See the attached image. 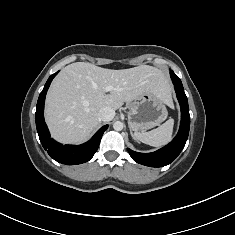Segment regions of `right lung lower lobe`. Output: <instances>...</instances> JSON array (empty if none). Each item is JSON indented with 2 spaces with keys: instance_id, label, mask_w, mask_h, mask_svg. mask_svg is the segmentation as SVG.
<instances>
[{
  "instance_id": "obj_1",
  "label": "right lung lower lobe",
  "mask_w": 235,
  "mask_h": 235,
  "mask_svg": "<svg viewBox=\"0 0 235 235\" xmlns=\"http://www.w3.org/2000/svg\"><path fill=\"white\" fill-rule=\"evenodd\" d=\"M57 73L58 72L49 77L39 95L35 113L37 132L42 146L55 161L66 165L82 164L89 161L93 157L94 153L98 149L103 133L108 128V125L101 127L88 142L78 146H63L50 138V133L44 121V103L47 90Z\"/></svg>"
}]
</instances>
